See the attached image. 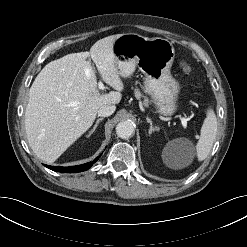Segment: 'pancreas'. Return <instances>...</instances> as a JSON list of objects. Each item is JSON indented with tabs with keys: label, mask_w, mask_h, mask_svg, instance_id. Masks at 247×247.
<instances>
[{
	"label": "pancreas",
	"mask_w": 247,
	"mask_h": 247,
	"mask_svg": "<svg viewBox=\"0 0 247 247\" xmlns=\"http://www.w3.org/2000/svg\"><path fill=\"white\" fill-rule=\"evenodd\" d=\"M135 96H136L138 99H140V98L142 97L141 93H140L138 90L135 91ZM143 104H144L145 106H148L149 100H148L147 97H144Z\"/></svg>",
	"instance_id": "pancreas-1"
}]
</instances>
